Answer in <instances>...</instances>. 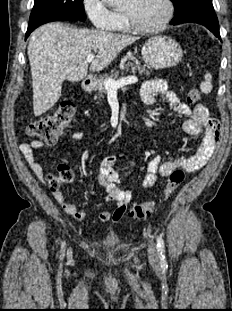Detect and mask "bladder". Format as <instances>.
Segmentation results:
<instances>
[{"label": "bladder", "instance_id": "31cf9c89", "mask_svg": "<svg viewBox=\"0 0 232 311\" xmlns=\"http://www.w3.org/2000/svg\"><path fill=\"white\" fill-rule=\"evenodd\" d=\"M103 243L108 248H114L120 243V237L117 234H111L104 238Z\"/></svg>", "mask_w": 232, "mask_h": 311}]
</instances>
